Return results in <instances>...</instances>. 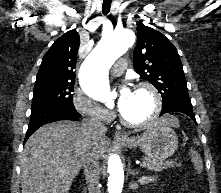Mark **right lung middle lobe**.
<instances>
[{
	"label": "right lung middle lobe",
	"mask_w": 221,
	"mask_h": 193,
	"mask_svg": "<svg viewBox=\"0 0 221 193\" xmlns=\"http://www.w3.org/2000/svg\"><path fill=\"white\" fill-rule=\"evenodd\" d=\"M73 90V82L35 84L31 112L54 106L74 108Z\"/></svg>",
	"instance_id": "obj_1"
}]
</instances>
